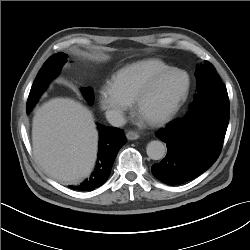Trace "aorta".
I'll list each match as a JSON object with an SVG mask.
<instances>
[{
	"label": "aorta",
	"instance_id": "obj_1",
	"mask_svg": "<svg viewBox=\"0 0 250 250\" xmlns=\"http://www.w3.org/2000/svg\"><path fill=\"white\" fill-rule=\"evenodd\" d=\"M147 155L152 160H160L166 154L165 145L158 140H153L147 145Z\"/></svg>",
	"mask_w": 250,
	"mask_h": 250
}]
</instances>
